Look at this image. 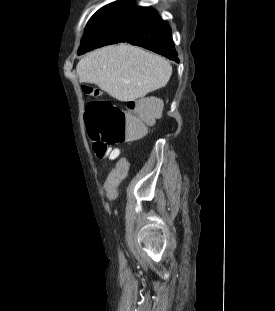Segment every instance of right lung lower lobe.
I'll return each instance as SVG.
<instances>
[{
    "mask_svg": "<svg viewBox=\"0 0 275 311\" xmlns=\"http://www.w3.org/2000/svg\"><path fill=\"white\" fill-rule=\"evenodd\" d=\"M121 42L141 46L179 62L171 28L157 13L135 25Z\"/></svg>",
    "mask_w": 275,
    "mask_h": 311,
    "instance_id": "1",
    "label": "right lung lower lobe"
}]
</instances>
